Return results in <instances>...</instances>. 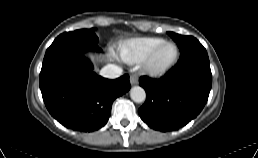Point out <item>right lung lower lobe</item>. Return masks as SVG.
<instances>
[{
    "label": "right lung lower lobe",
    "mask_w": 258,
    "mask_h": 158,
    "mask_svg": "<svg viewBox=\"0 0 258 158\" xmlns=\"http://www.w3.org/2000/svg\"><path fill=\"white\" fill-rule=\"evenodd\" d=\"M100 51L92 44L65 42L46 51L39 76L49 113L62 125L91 132L104 126L115 98L130 89L127 74L115 80L98 76L83 53Z\"/></svg>",
    "instance_id": "obj_1"
}]
</instances>
